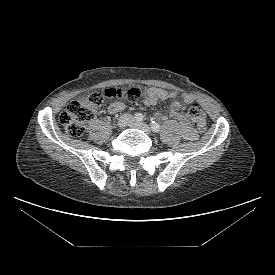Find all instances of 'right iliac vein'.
I'll return each instance as SVG.
<instances>
[{
  "instance_id": "right-iliac-vein-1",
  "label": "right iliac vein",
  "mask_w": 275,
  "mask_h": 275,
  "mask_svg": "<svg viewBox=\"0 0 275 275\" xmlns=\"http://www.w3.org/2000/svg\"><path fill=\"white\" fill-rule=\"evenodd\" d=\"M132 118L129 115H124L122 117H120V119L118 120V127L119 128H124L127 125H130V123L132 122Z\"/></svg>"
}]
</instances>
